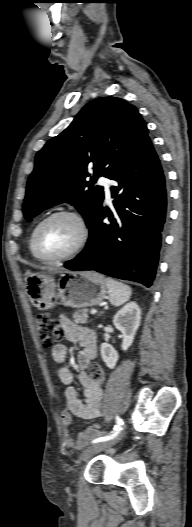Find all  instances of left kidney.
<instances>
[{
	"label": "left kidney",
	"instance_id": "1",
	"mask_svg": "<svg viewBox=\"0 0 192 527\" xmlns=\"http://www.w3.org/2000/svg\"><path fill=\"white\" fill-rule=\"evenodd\" d=\"M140 320L141 310L136 302L126 304L114 316L113 324L123 334L122 350L126 351L132 345ZM100 352L106 366L113 369L119 358L117 351L110 344L102 343Z\"/></svg>",
	"mask_w": 192,
	"mask_h": 527
}]
</instances>
